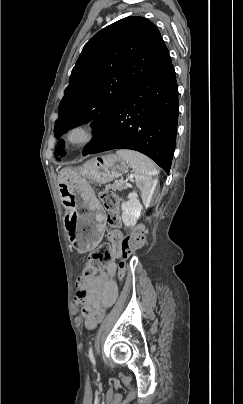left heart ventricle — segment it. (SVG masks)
<instances>
[{"label":"left heart ventricle","mask_w":243,"mask_h":404,"mask_svg":"<svg viewBox=\"0 0 243 404\" xmlns=\"http://www.w3.org/2000/svg\"><path fill=\"white\" fill-rule=\"evenodd\" d=\"M83 138V133L81 131H77L72 135V139L75 141H79Z\"/></svg>","instance_id":"obj_1"}]
</instances>
